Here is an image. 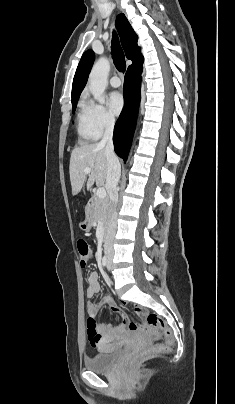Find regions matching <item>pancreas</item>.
<instances>
[{
  "label": "pancreas",
  "instance_id": "obj_1",
  "mask_svg": "<svg viewBox=\"0 0 235 404\" xmlns=\"http://www.w3.org/2000/svg\"><path fill=\"white\" fill-rule=\"evenodd\" d=\"M110 213V204L107 198H98L94 196L92 209H91V220L93 223L102 222L106 223Z\"/></svg>",
  "mask_w": 235,
  "mask_h": 404
}]
</instances>
